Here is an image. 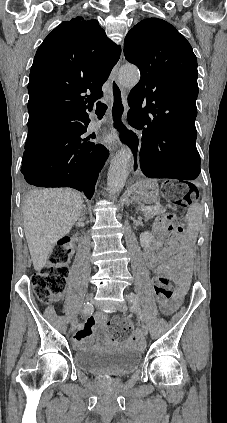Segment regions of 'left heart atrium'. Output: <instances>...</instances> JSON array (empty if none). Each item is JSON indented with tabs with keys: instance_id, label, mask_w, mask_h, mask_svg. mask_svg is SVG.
<instances>
[{
	"instance_id": "obj_1",
	"label": "left heart atrium",
	"mask_w": 227,
	"mask_h": 423,
	"mask_svg": "<svg viewBox=\"0 0 227 423\" xmlns=\"http://www.w3.org/2000/svg\"><path fill=\"white\" fill-rule=\"evenodd\" d=\"M118 136L117 135H111V136H109L108 137V140L111 142V143H114V142H116L117 140H118Z\"/></svg>"
}]
</instances>
